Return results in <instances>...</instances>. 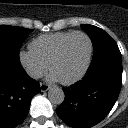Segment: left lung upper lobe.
Returning a JSON list of instances; mask_svg holds the SVG:
<instances>
[{
    "label": "left lung upper lobe",
    "instance_id": "1",
    "mask_svg": "<svg viewBox=\"0 0 128 128\" xmlns=\"http://www.w3.org/2000/svg\"><path fill=\"white\" fill-rule=\"evenodd\" d=\"M81 27L87 31L92 40L94 46L93 58L105 52L119 51L117 43L114 39L101 28L89 24H83Z\"/></svg>",
    "mask_w": 128,
    "mask_h": 128
}]
</instances>
